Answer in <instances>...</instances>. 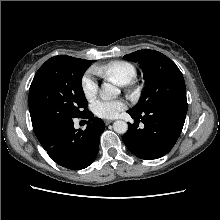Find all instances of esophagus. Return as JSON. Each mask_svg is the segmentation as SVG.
<instances>
[{
	"mask_svg": "<svg viewBox=\"0 0 220 220\" xmlns=\"http://www.w3.org/2000/svg\"><path fill=\"white\" fill-rule=\"evenodd\" d=\"M104 122H105L106 125H109L113 122V120H105Z\"/></svg>",
	"mask_w": 220,
	"mask_h": 220,
	"instance_id": "1",
	"label": "esophagus"
}]
</instances>
